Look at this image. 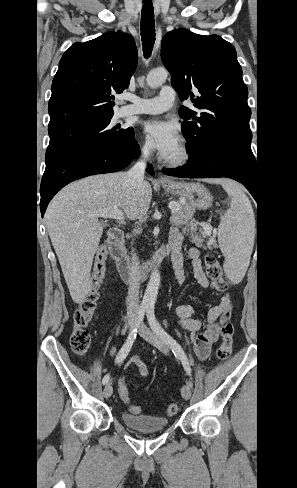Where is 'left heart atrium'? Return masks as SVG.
Returning <instances> with one entry per match:
<instances>
[{"instance_id": "39dd6f15", "label": "left heart atrium", "mask_w": 297, "mask_h": 488, "mask_svg": "<svg viewBox=\"0 0 297 488\" xmlns=\"http://www.w3.org/2000/svg\"><path fill=\"white\" fill-rule=\"evenodd\" d=\"M143 131L163 158H167L180 143L177 127L170 121L148 120L143 124Z\"/></svg>"}]
</instances>
